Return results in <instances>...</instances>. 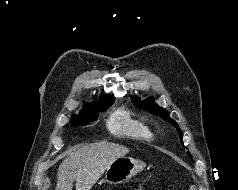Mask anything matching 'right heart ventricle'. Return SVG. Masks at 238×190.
Returning a JSON list of instances; mask_svg holds the SVG:
<instances>
[{"mask_svg":"<svg viewBox=\"0 0 238 190\" xmlns=\"http://www.w3.org/2000/svg\"><path fill=\"white\" fill-rule=\"evenodd\" d=\"M106 124L113 134L127 135L145 140H150L153 137L151 129L144 121L133 117L129 111L124 109L112 112Z\"/></svg>","mask_w":238,"mask_h":190,"instance_id":"e07e8e85","label":"right heart ventricle"}]
</instances>
